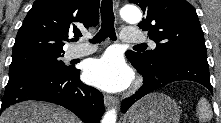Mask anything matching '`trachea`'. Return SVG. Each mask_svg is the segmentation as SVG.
Here are the masks:
<instances>
[{
    "label": "trachea",
    "mask_w": 221,
    "mask_h": 123,
    "mask_svg": "<svg viewBox=\"0 0 221 123\" xmlns=\"http://www.w3.org/2000/svg\"><path fill=\"white\" fill-rule=\"evenodd\" d=\"M101 29L95 35V37L90 40L91 43H101L106 38H110L111 40H116V33L114 28V12H113V3L112 0H103L101 3ZM143 44H139L136 46H142Z\"/></svg>",
    "instance_id": "1"
}]
</instances>
